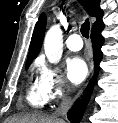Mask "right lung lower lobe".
<instances>
[{"mask_svg": "<svg viewBox=\"0 0 118 123\" xmlns=\"http://www.w3.org/2000/svg\"><path fill=\"white\" fill-rule=\"evenodd\" d=\"M101 31L91 34V40L93 44V53H94L95 74L92 80L90 81L89 86L84 94V99L81 102H76L67 114L68 119L73 123H79L80 120L82 119L85 107L88 103L91 91L94 86V82L96 80V77L99 71V64L103 56L101 47L104 43V38L101 36Z\"/></svg>", "mask_w": 118, "mask_h": 123, "instance_id": "right-lung-lower-lobe-1", "label": "right lung lower lobe"}]
</instances>
